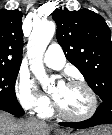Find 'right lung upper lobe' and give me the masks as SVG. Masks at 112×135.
<instances>
[{
    "instance_id": "right-lung-upper-lobe-1",
    "label": "right lung upper lobe",
    "mask_w": 112,
    "mask_h": 135,
    "mask_svg": "<svg viewBox=\"0 0 112 135\" xmlns=\"http://www.w3.org/2000/svg\"><path fill=\"white\" fill-rule=\"evenodd\" d=\"M22 12L0 10V64H21Z\"/></svg>"
}]
</instances>
